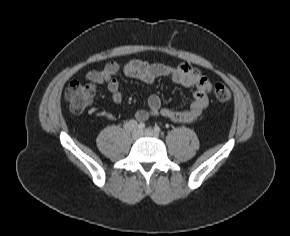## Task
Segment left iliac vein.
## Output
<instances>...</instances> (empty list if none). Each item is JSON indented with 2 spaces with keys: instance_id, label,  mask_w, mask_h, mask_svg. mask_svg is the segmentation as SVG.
Here are the masks:
<instances>
[{
  "instance_id": "4c4485c4",
  "label": "left iliac vein",
  "mask_w": 290,
  "mask_h": 236,
  "mask_svg": "<svg viewBox=\"0 0 290 236\" xmlns=\"http://www.w3.org/2000/svg\"><path fill=\"white\" fill-rule=\"evenodd\" d=\"M144 135L148 136V137H153V138H158L159 137V134L155 130H153L151 128L145 129Z\"/></svg>"
}]
</instances>
